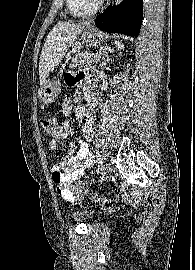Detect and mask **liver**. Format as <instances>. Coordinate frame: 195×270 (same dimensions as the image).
<instances>
[{"label":"liver","instance_id":"obj_1","mask_svg":"<svg viewBox=\"0 0 195 270\" xmlns=\"http://www.w3.org/2000/svg\"><path fill=\"white\" fill-rule=\"evenodd\" d=\"M89 27V23L58 22L49 32L41 51L39 80L43 86L50 72L61 62L78 35Z\"/></svg>","mask_w":195,"mask_h":270}]
</instances>
